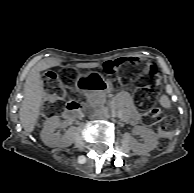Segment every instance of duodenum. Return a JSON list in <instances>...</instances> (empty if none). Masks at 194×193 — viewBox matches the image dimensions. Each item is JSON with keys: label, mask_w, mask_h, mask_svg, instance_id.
I'll return each instance as SVG.
<instances>
[{"label": "duodenum", "mask_w": 194, "mask_h": 193, "mask_svg": "<svg viewBox=\"0 0 194 193\" xmlns=\"http://www.w3.org/2000/svg\"><path fill=\"white\" fill-rule=\"evenodd\" d=\"M81 112V105L79 102H77L76 100H70L67 105L66 108L63 112V115L66 119H72L74 117H77Z\"/></svg>", "instance_id": "410a0bca"}]
</instances>
